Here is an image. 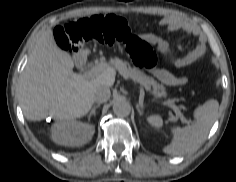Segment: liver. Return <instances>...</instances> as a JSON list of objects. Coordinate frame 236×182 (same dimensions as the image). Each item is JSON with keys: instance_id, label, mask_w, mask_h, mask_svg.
<instances>
[{"instance_id": "1", "label": "liver", "mask_w": 236, "mask_h": 182, "mask_svg": "<svg viewBox=\"0 0 236 182\" xmlns=\"http://www.w3.org/2000/svg\"><path fill=\"white\" fill-rule=\"evenodd\" d=\"M71 56L61 50L51 29L45 30L22 72L19 82V102L30 121L50 116L59 121L85 116L94 103L99 86L112 87L116 72L112 67L88 80L73 72Z\"/></svg>"}]
</instances>
